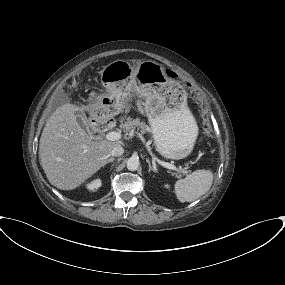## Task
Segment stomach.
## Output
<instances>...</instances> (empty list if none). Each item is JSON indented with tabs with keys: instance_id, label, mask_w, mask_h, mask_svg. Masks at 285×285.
Segmentation results:
<instances>
[{
	"instance_id": "stomach-1",
	"label": "stomach",
	"mask_w": 285,
	"mask_h": 285,
	"mask_svg": "<svg viewBox=\"0 0 285 285\" xmlns=\"http://www.w3.org/2000/svg\"><path fill=\"white\" fill-rule=\"evenodd\" d=\"M101 83L107 90L94 120L105 123L120 114L124 100L133 92L145 99L157 152L166 159H182L193 150L198 134L196 121L187 106L185 89L169 79L165 69L151 60L136 66L116 60L101 71Z\"/></svg>"
}]
</instances>
